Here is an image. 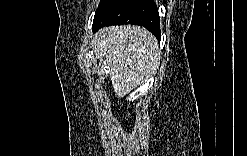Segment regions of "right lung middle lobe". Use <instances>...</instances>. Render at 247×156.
Instances as JSON below:
<instances>
[{
	"mask_svg": "<svg viewBox=\"0 0 247 156\" xmlns=\"http://www.w3.org/2000/svg\"><path fill=\"white\" fill-rule=\"evenodd\" d=\"M112 0H101L94 16V20L102 13V11L107 7V5L111 2Z\"/></svg>",
	"mask_w": 247,
	"mask_h": 156,
	"instance_id": "dd1d6c3e",
	"label": "right lung middle lobe"
}]
</instances>
